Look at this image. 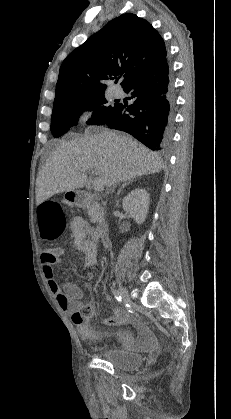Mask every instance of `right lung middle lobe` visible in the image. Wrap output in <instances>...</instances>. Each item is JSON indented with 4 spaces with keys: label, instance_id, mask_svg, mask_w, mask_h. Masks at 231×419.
Returning a JSON list of instances; mask_svg holds the SVG:
<instances>
[{
    "label": "right lung middle lobe",
    "instance_id": "obj_1",
    "mask_svg": "<svg viewBox=\"0 0 231 419\" xmlns=\"http://www.w3.org/2000/svg\"><path fill=\"white\" fill-rule=\"evenodd\" d=\"M104 91L58 101L54 103L51 116V132L54 137H60L73 125H76L84 110L93 111L88 124L100 125L102 121L118 106H107Z\"/></svg>",
    "mask_w": 231,
    "mask_h": 419
}]
</instances>
